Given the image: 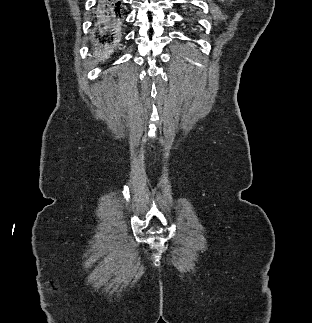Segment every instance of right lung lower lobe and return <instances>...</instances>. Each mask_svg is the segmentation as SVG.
Returning a JSON list of instances; mask_svg holds the SVG:
<instances>
[{
	"instance_id": "1",
	"label": "right lung lower lobe",
	"mask_w": 312,
	"mask_h": 323,
	"mask_svg": "<svg viewBox=\"0 0 312 323\" xmlns=\"http://www.w3.org/2000/svg\"><path fill=\"white\" fill-rule=\"evenodd\" d=\"M125 5L117 0H101L95 5L97 17L92 26L94 31L92 47L94 50L103 52L115 49L124 24Z\"/></svg>"
}]
</instances>
